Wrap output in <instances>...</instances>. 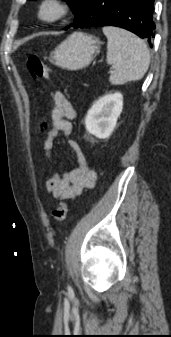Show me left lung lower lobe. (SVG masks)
Returning a JSON list of instances; mask_svg holds the SVG:
<instances>
[{
  "label": "left lung lower lobe",
  "mask_w": 171,
  "mask_h": 337,
  "mask_svg": "<svg viewBox=\"0 0 171 337\" xmlns=\"http://www.w3.org/2000/svg\"><path fill=\"white\" fill-rule=\"evenodd\" d=\"M153 4L154 0H87L73 27L117 26L147 38L151 44L156 28Z\"/></svg>",
  "instance_id": "obj_1"
}]
</instances>
